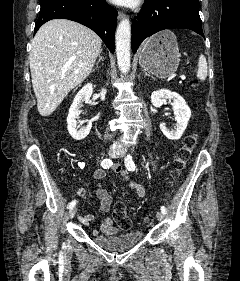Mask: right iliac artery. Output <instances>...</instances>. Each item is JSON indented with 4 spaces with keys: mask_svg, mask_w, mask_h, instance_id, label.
<instances>
[{
    "mask_svg": "<svg viewBox=\"0 0 240 281\" xmlns=\"http://www.w3.org/2000/svg\"><path fill=\"white\" fill-rule=\"evenodd\" d=\"M113 165V161L111 159H104L101 162V166L104 169H109ZM76 205V201L73 200L72 202L69 203L68 208L72 209Z\"/></svg>",
    "mask_w": 240,
    "mask_h": 281,
    "instance_id": "obj_1",
    "label": "right iliac artery"
}]
</instances>
